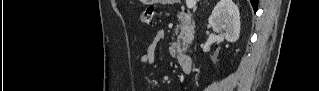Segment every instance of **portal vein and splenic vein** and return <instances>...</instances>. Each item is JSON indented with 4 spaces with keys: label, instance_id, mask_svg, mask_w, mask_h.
Returning a JSON list of instances; mask_svg holds the SVG:
<instances>
[{
    "label": "portal vein and splenic vein",
    "instance_id": "portal-vein-and-splenic-vein-1",
    "mask_svg": "<svg viewBox=\"0 0 319 91\" xmlns=\"http://www.w3.org/2000/svg\"><path fill=\"white\" fill-rule=\"evenodd\" d=\"M186 4H187V7H188L189 9H192V8L195 7L196 1H195V0H187V1H186Z\"/></svg>",
    "mask_w": 319,
    "mask_h": 91
}]
</instances>
